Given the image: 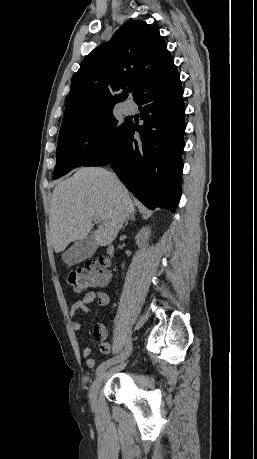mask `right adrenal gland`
I'll return each instance as SVG.
<instances>
[{"instance_id":"2a0ac1e0","label":"right adrenal gland","mask_w":257,"mask_h":459,"mask_svg":"<svg viewBox=\"0 0 257 459\" xmlns=\"http://www.w3.org/2000/svg\"><path fill=\"white\" fill-rule=\"evenodd\" d=\"M135 221V215L131 214L124 222V225L122 226V229L128 224V221Z\"/></svg>"}]
</instances>
